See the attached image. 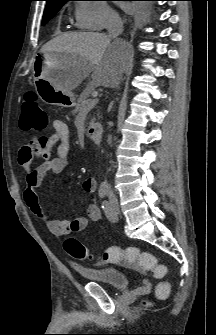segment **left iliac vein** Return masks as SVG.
Instances as JSON below:
<instances>
[{
	"label": "left iliac vein",
	"instance_id": "obj_1",
	"mask_svg": "<svg viewBox=\"0 0 216 335\" xmlns=\"http://www.w3.org/2000/svg\"><path fill=\"white\" fill-rule=\"evenodd\" d=\"M111 209H112V212H113V220L112 221H118V215H119V205H118V202L117 200H112L111 201Z\"/></svg>",
	"mask_w": 216,
	"mask_h": 335
}]
</instances>
